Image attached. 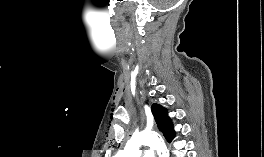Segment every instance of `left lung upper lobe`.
Instances as JSON below:
<instances>
[{"instance_id": "left-lung-upper-lobe-1", "label": "left lung upper lobe", "mask_w": 264, "mask_h": 157, "mask_svg": "<svg viewBox=\"0 0 264 157\" xmlns=\"http://www.w3.org/2000/svg\"><path fill=\"white\" fill-rule=\"evenodd\" d=\"M152 114L156 120L158 129L163 133L168 142L174 138L175 131L173 130L172 122L167 115V110L158 104L152 105Z\"/></svg>"}]
</instances>
